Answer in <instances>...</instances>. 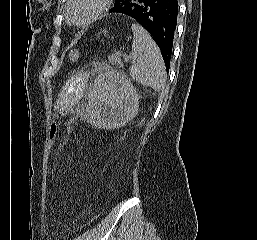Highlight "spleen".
Returning a JSON list of instances; mask_svg holds the SVG:
<instances>
[{"instance_id":"spleen-1","label":"spleen","mask_w":257,"mask_h":240,"mask_svg":"<svg viewBox=\"0 0 257 240\" xmlns=\"http://www.w3.org/2000/svg\"><path fill=\"white\" fill-rule=\"evenodd\" d=\"M131 29L134 35L131 52L134 61L130 68V76L136 82L155 91L164 90L167 77L158 46L143 27L132 24Z\"/></svg>"}]
</instances>
